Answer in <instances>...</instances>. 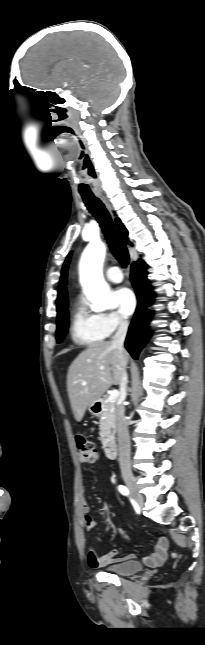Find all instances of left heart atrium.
I'll use <instances>...</instances> for the list:
<instances>
[{
    "label": "left heart atrium",
    "instance_id": "39dd6f15",
    "mask_svg": "<svg viewBox=\"0 0 205 645\" xmlns=\"http://www.w3.org/2000/svg\"><path fill=\"white\" fill-rule=\"evenodd\" d=\"M114 300L121 314L124 316L131 315L136 307V298L134 293L126 287L115 291Z\"/></svg>",
    "mask_w": 205,
    "mask_h": 645
}]
</instances>
